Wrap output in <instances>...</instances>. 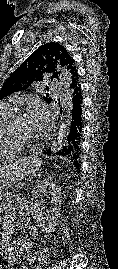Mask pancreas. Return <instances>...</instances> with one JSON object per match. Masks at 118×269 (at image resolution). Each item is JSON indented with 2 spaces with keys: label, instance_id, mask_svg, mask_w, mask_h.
I'll use <instances>...</instances> for the list:
<instances>
[{
  "label": "pancreas",
  "instance_id": "obj_1",
  "mask_svg": "<svg viewBox=\"0 0 118 269\" xmlns=\"http://www.w3.org/2000/svg\"><path fill=\"white\" fill-rule=\"evenodd\" d=\"M35 178L34 177H24L23 180H19V182H14L13 186L11 188L12 192H21L22 190H27L28 189V183L29 182H34Z\"/></svg>",
  "mask_w": 118,
  "mask_h": 269
}]
</instances>
